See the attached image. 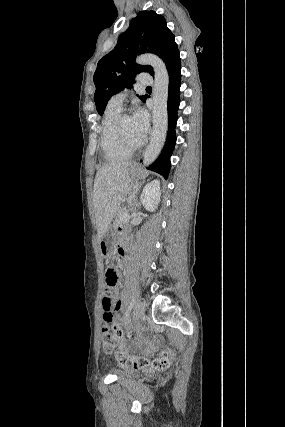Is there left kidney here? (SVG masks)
<instances>
[{
  "label": "left kidney",
  "instance_id": "left-kidney-1",
  "mask_svg": "<svg viewBox=\"0 0 285 427\" xmlns=\"http://www.w3.org/2000/svg\"><path fill=\"white\" fill-rule=\"evenodd\" d=\"M160 182L153 180L142 191L141 202L148 211H154L160 202Z\"/></svg>",
  "mask_w": 285,
  "mask_h": 427
}]
</instances>
